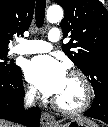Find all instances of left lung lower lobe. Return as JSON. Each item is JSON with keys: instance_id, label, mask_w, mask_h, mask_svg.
<instances>
[{"instance_id": "1", "label": "left lung lower lobe", "mask_w": 108, "mask_h": 127, "mask_svg": "<svg viewBox=\"0 0 108 127\" xmlns=\"http://www.w3.org/2000/svg\"><path fill=\"white\" fill-rule=\"evenodd\" d=\"M84 114L108 124V96H95L91 108Z\"/></svg>"}]
</instances>
